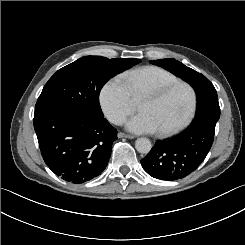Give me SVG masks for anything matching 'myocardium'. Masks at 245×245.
<instances>
[{"instance_id": "f54148a6", "label": "myocardium", "mask_w": 245, "mask_h": 245, "mask_svg": "<svg viewBox=\"0 0 245 245\" xmlns=\"http://www.w3.org/2000/svg\"><path fill=\"white\" fill-rule=\"evenodd\" d=\"M184 87L188 90L189 95H190V106L187 114L185 117L177 123L175 126L169 128V129H164V130H159L158 133L161 136H170L173 134H176L179 132L181 129H183L193 118L195 110H196V104H197V96L194 88L187 82L184 81H179L176 83H172L166 86H161L159 84H151L147 86L140 94L138 99L150 96V95H156L157 100H163L166 98L170 93H172L174 90L177 88Z\"/></svg>"}]
</instances>
